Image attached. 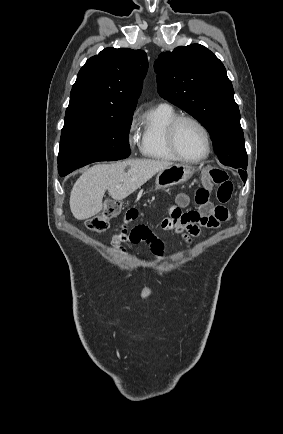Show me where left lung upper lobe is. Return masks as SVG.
Listing matches in <instances>:
<instances>
[{
	"label": "left lung upper lobe",
	"instance_id": "5c2ea615",
	"mask_svg": "<svg viewBox=\"0 0 283 434\" xmlns=\"http://www.w3.org/2000/svg\"><path fill=\"white\" fill-rule=\"evenodd\" d=\"M154 68L158 93L208 130L220 162L247 167L240 112L222 62L206 47L191 44L161 53Z\"/></svg>",
	"mask_w": 283,
	"mask_h": 434
}]
</instances>
